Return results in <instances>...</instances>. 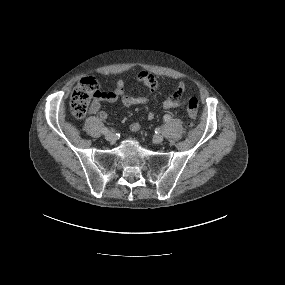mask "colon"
Here are the masks:
<instances>
[{
  "label": "colon",
  "instance_id": "1",
  "mask_svg": "<svg viewBox=\"0 0 285 285\" xmlns=\"http://www.w3.org/2000/svg\"><path fill=\"white\" fill-rule=\"evenodd\" d=\"M100 94L99 84L93 77H85L80 80L70 97V111L72 115L81 119L90 110L93 100ZM199 103L196 98H191L187 104L189 124L192 125L198 115Z\"/></svg>",
  "mask_w": 285,
  "mask_h": 285
}]
</instances>
